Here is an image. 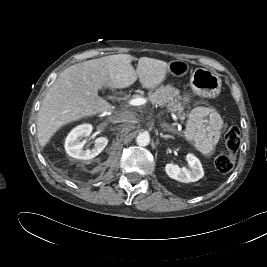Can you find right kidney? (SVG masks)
<instances>
[{
    "label": "right kidney",
    "instance_id": "ca27d5eb",
    "mask_svg": "<svg viewBox=\"0 0 267 267\" xmlns=\"http://www.w3.org/2000/svg\"><path fill=\"white\" fill-rule=\"evenodd\" d=\"M92 132L91 124H83L75 127L66 137L65 150L69 156L82 160H89L99 155L108 144V139L105 137H98L95 140V147L93 149L84 150L83 147L86 140L84 137L90 136Z\"/></svg>",
    "mask_w": 267,
    "mask_h": 267
}]
</instances>
